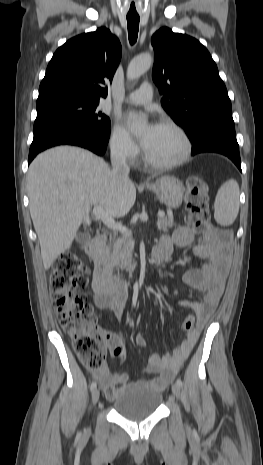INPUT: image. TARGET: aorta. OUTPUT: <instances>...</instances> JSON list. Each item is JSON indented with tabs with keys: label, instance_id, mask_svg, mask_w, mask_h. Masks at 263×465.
Returning a JSON list of instances; mask_svg holds the SVG:
<instances>
[{
	"label": "aorta",
	"instance_id": "aorta-1",
	"mask_svg": "<svg viewBox=\"0 0 263 465\" xmlns=\"http://www.w3.org/2000/svg\"><path fill=\"white\" fill-rule=\"evenodd\" d=\"M153 64V58L150 54H142L136 58H134L128 65L127 68V78L129 80H134L139 78L141 75H143ZM146 119L144 117L142 118H136L133 126H132V131L134 132H139L141 131L145 126H146Z\"/></svg>",
	"mask_w": 263,
	"mask_h": 465
}]
</instances>
